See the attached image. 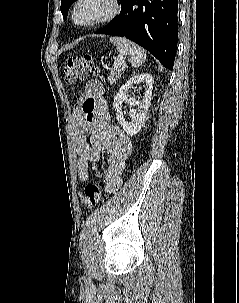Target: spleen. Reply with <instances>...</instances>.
<instances>
[{
    "mask_svg": "<svg viewBox=\"0 0 239 303\" xmlns=\"http://www.w3.org/2000/svg\"><path fill=\"white\" fill-rule=\"evenodd\" d=\"M110 42L116 46L120 55L128 56L133 67H139L146 59L145 49L122 37H111Z\"/></svg>",
    "mask_w": 239,
    "mask_h": 303,
    "instance_id": "3e777b00",
    "label": "spleen"
}]
</instances>
